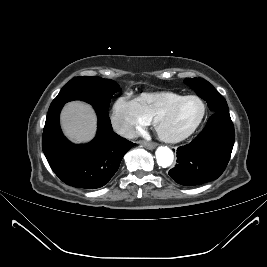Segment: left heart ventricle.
<instances>
[{"mask_svg":"<svg viewBox=\"0 0 267 267\" xmlns=\"http://www.w3.org/2000/svg\"><path fill=\"white\" fill-rule=\"evenodd\" d=\"M202 105L198 100H188L161 123V130L168 135H180L189 130L199 119Z\"/></svg>","mask_w":267,"mask_h":267,"instance_id":"b2bd125f","label":"left heart ventricle"}]
</instances>
